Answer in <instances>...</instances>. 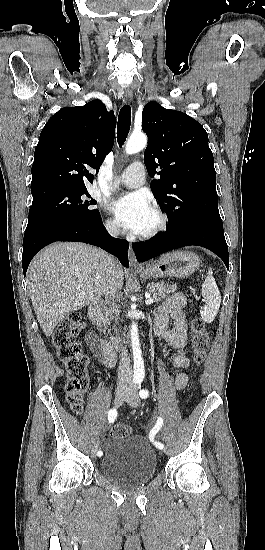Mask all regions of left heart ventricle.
Wrapping results in <instances>:
<instances>
[{"label": "left heart ventricle", "instance_id": "b2bd125f", "mask_svg": "<svg viewBox=\"0 0 265 550\" xmlns=\"http://www.w3.org/2000/svg\"><path fill=\"white\" fill-rule=\"evenodd\" d=\"M155 224H156V217L151 212L141 232H145L152 229L155 226Z\"/></svg>", "mask_w": 265, "mask_h": 550}]
</instances>
